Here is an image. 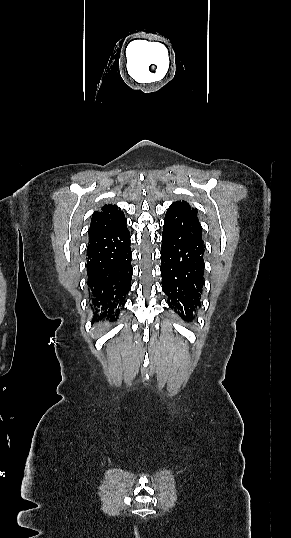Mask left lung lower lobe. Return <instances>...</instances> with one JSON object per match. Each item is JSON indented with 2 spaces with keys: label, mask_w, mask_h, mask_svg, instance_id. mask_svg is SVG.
Returning <instances> with one entry per match:
<instances>
[{
  "label": "left lung lower lobe",
  "mask_w": 291,
  "mask_h": 538,
  "mask_svg": "<svg viewBox=\"0 0 291 538\" xmlns=\"http://www.w3.org/2000/svg\"><path fill=\"white\" fill-rule=\"evenodd\" d=\"M205 245L196 216L168 208L162 232L161 276L167 303L185 321H193L204 288Z\"/></svg>",
  "instance_id": "left-lung-lower-lobe-1"
}]
</instances>
